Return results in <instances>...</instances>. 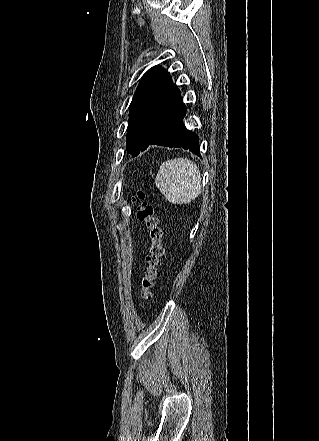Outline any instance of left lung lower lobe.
<instances>
[{"label": "left lung lower lobe", "instance_id": "obj_1", "mask_svg": "<svg viewBox=\"0 0 319 441\" xmlns=\"http://www.w3.org/2000/svg\"><path fill=\"white\" fill-rule=\"evenodd\" d=\"M185 115L186 107L182 103L180 108L156 131L149 145L184 148L200 156L198 136L186 129L183 123Z\"/></svg>", "mask_w": 319, "mask_h": 441}]
</instances>
